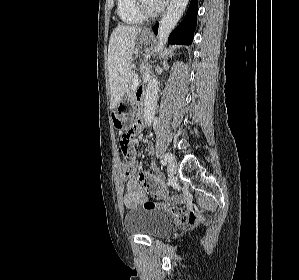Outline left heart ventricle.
I'll use <instances>...</instances> for the list:
<instances>
[{"mask_svg":"<svg viewBox=\"0 0 299 280\" xmlns=\"http://www.w3.org/2000/svg\"><path fill=\"white\" fill-rule=\"evenodd\" d=\"M144 3L149 10H155L160 6L157 0H144Z\"/></svg>","mask_w":299,"mask_h":280,"instance_id":"b2bd125f","label":"left heart ventricle"}]
</instances>
